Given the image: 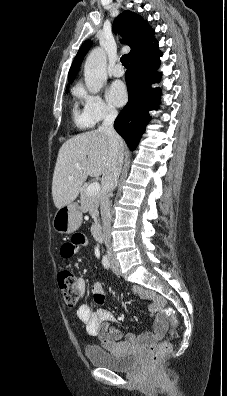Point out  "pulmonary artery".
<instances>
[{"instance_id":"obj_1","label":"pulmonary artery","mask_w":227,"mask_h":396,"mask_svg":"<svg viewBox=\"0 0 227 396\" xmlns=\"http://www.w3.org/2000/svg\"><path fill=\"white\" fill-rule=\"evenodd\" d=\"M112 75H114L115 77H121L124 74V69L122 68L121 65H116L112 68L111 70Z\"/></svg>"}]
</instances>
